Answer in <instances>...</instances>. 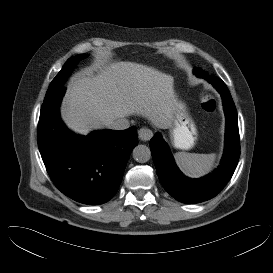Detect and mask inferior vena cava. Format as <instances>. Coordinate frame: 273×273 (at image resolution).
I'll return each instance as SVG.
<instances>
[{"label":"inferior vena cava","mask_w":273,"mask_h":273,"mask_svg":"<svg viewBox=\"0 0 273 273\" xmlns=\"http://www.w3.org/2000/svg\"><path fill=\"white\" fill-rule=\"evenodd\" d=\"M129 127H130V123L125 118H118L109 124V128L114 130H124Z\"/></svg>","instance_id":"obj_1"}]
</instances>
